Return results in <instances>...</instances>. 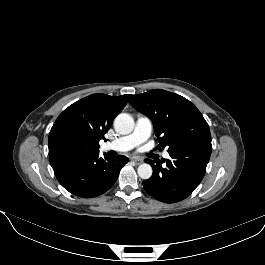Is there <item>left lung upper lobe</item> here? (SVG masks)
<instances>
[{"mask_svg":"<svg viewBox=\"0 0 265 265\" xmlns=\"http://www.w3.org/2000/svg\"><path fill=\"white\" fill-rule=\"evenodd\" d=\"M129 103L152 120L159 137L158 149L167 148L171 152L194 142L211 140L209 126L200 111L178 94L155 89L133 95Z\"/></svg>","mask_w":265,"mask_h":265,"instance_id":"obj_1","label":"left lung upper lobe"}]
</instances>
